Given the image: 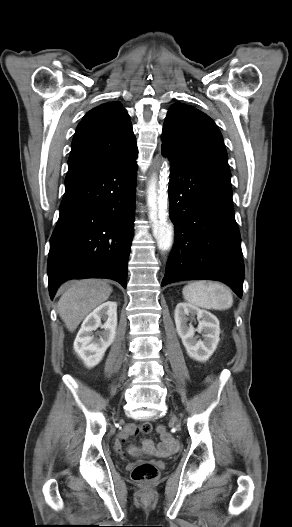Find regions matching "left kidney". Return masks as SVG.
<instances>
[{"instance_id":"left-kidney-1","label":"left kidney","mask_w":292,"mask_h":527,"mask_svg":"<svg viewBox=\"0 0 292 527\" xmlns=\"http://www.w3.org/2000/svg\"><path fill=\"white\" fill-rule=\"evenodd\" d=\"M197 316L198 327L195 329L187 324L188 316ZM176 330L182 343L192 359L206 362L217 348L220 340V326L216 316L212 313L201 310L189 303H179L174 312ZM203 332V340H198L195 332Z\"/></svg>"}]
</instances>
